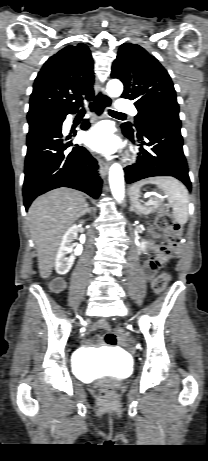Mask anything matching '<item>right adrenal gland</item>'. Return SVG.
<instances>
[{
  "label": "right adrenal gland",
  "mask_w": 208,
  "mask_h": 461,
  "mask_svg": "<svg viewBox=\"0 0 208 461\" xmlns=\"http://www.w3.org/2000/svg\"><path fill=\"white\" fill-rule=\"evenodd\" d=\"M85 213L91 214V208L89 207L88 204H86V212Z\"/></svg>",
  "instance_id": "right-adrenal-gland-1"
}]
</instances>
